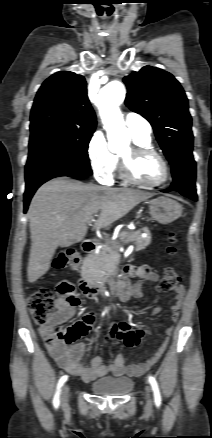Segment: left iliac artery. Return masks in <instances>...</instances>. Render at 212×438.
I'll use <instances>...</instances> for the list:
<instances>
[{
	"mask_svg": "<svg viewBox=\"0 0 212 438\" xmlns=\"http://www.w3.org/2000/svg\"><path fill=\"white\" fill-rule=\"evenodd\" d=\"M149 383L152 387L153 390V394H154V400H155V404L157 406H159L161 404V395H160V391H159V387L157 384V381L154 377L149 376Z\"/></svg>",
	"mask_w": 212,
	"mask_h": 438,
	"instance_id": "44dca946",
	"label": "left iliac artery"
}]
</instances>
